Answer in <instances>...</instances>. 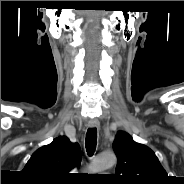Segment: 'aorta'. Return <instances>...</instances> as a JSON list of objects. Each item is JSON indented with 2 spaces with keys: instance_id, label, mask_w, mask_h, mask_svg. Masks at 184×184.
Instances as JSON below:
<instances>
[{
  "instance_id": "aorta-1",
  "label": "aorta",
  "mask_w": 184,
  "mask_h": 184,
  "mask_svg": "<svg viewBox=\"0 0 184 184\" xmlns=\"http://www.w3.org/2000/svg\"><path fill=\"white\" fill-rule=\"evenodd\" d=\"M116 163V157L111 152H106L95 158L90 166L91 172H101L112 167Z\"/></svg>"
}]
</instances>
